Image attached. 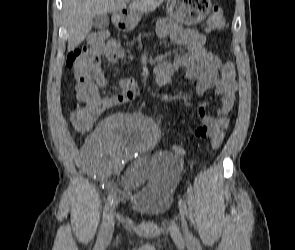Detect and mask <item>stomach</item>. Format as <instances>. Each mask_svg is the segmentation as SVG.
Listing matches in <instances>:
<instances>
[{"label": "stomach", "mask_w": 295, "mask_h": 250, "mask_svg": "<svg viewBox=\"0 0 295 250\" xmlns=\"http://www.w3.org/2000/svg\"><path fill=\"white\" fill-rule=\"evenodd\" d=\"M210 9V0H167V12L179 23L197 24L208 16ZM140 20L139 13L131 12L124 18L121 27L131 30Z\"/></svg>", "instance_id": "stomach-1"}]
</instances>
